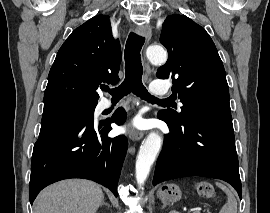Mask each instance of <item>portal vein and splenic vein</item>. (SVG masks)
Wrapping results in <instances>:
<instances>
[{
  "label": "portal vein and splenic vein",
  "mask_w": 270,
  "mask_h": 213,
  "mask_svg": "<svg viewBox=\"0 0 270 213\" xmlns=\"http://www.w3.org/2000/svg\"><path fill=\"white\" fill-rule=\"evenodd\" d=\"M193 213H200L196 208L191 209Z\"/></svg>",
  "instance_id": "18ae733b"
}]
</instances>
